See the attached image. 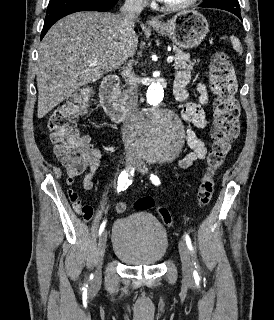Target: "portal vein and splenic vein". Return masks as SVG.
Wrapping results in <instances>:
<instances>
[{"label": "portal vein and splenic vein", "instance_id": "1", "mask_svg": "<svg viewBox=\"0 0 274 320\" xmlns=\"http://www.w3.org/2000/svg\"><path fill=\"white\" fill-rule=\"evenodd\" d=\"M174 56H168L167 62L170 64V62H173ZM89 66H97V62H89Z\"/></svg>", "mask_w": 274, "mask_h": 320}]
</instances>
